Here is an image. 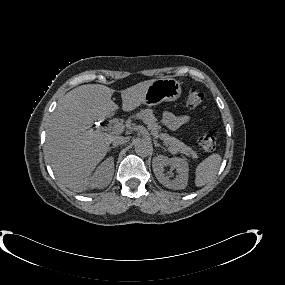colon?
Segmentation results:
<instances>
[{
    "mask_svg": "<svg viewBox=\"0 0 285 285\" xmlns=\"http://www.w3.org/2000/svg\"><path fill=\"white\" fill-rule=\"evenodd\" d=\"M204 95L196 89L187 92L186 103L189 108H197L203 102ZM200 146L207 152H213L217 148V141L214 135L205 133L199 137Z\"/></svg>",
    "mask_w": 285,
    "mask_h": 285,
    "instance_id": "colon-1",
    "label": "colon"
}]
</instances>
